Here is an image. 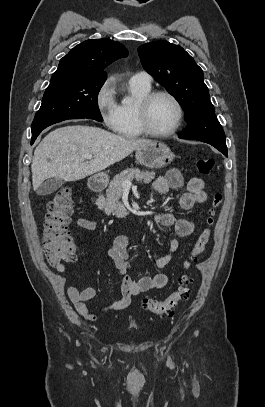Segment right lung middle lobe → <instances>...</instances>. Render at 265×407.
Returning a JSON list of instances; mask_svg holds the SVG:
<instances>
[{
	"instance_id": "1",
	"label": "right lung middle lobe",
	"mask_w": 265,
	"mask_h": 407,
	"mask_svg": "<svg viewBox=\"0 0 265 407\" xmlns=\"http://www.w3.org/2000/svg\"><path fill=\"white\" fill-rule=\"evenodd\" d=\"M104 81L52 76L40 109L32 122V137L46 127L67 119L90 118L102 122L97 102Z\"/></svg>"
}]
</instances>
